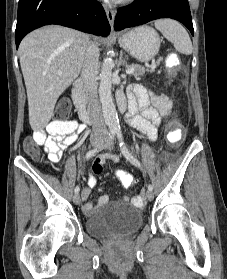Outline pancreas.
<instances>
[{
    "label": "pancreas",
    "mask_w": 227,
    "mask_h": 279,
    "mask_svg": "<svg viewBox=\"0 0 227 279\" xmlns=\"http://www.w3.org/2000/svg\"><path fill=\"white\" fill-rule=\"evenodd\" d=\"M158 65V63H152L151 65H149L148 67H143L140 65H136V64H132V65H127V68L129 67H134L135 70L133 73H131V75H133L134 77H139V76H143L145 74V72L147 71H154L155 67Z\"/></svg>",
    "instance_id": "pancreas-1"
}]
</instances>
